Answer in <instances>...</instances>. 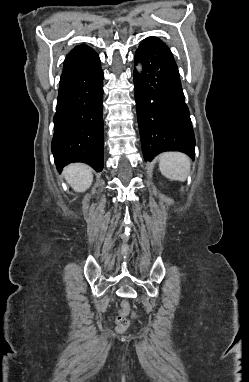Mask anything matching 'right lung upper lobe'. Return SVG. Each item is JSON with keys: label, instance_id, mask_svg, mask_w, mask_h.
I'll use <instances>...</instances> for the list:
<instances>
[{"label": "right lung upper lobe", "instance_id": "right-lung-upper-lobe-1", "mask_svg": "<svg viewBox=\"0 0 249 382\" xmlns=\"http://www.w3.org/2000/svg\"><path fill=\"white\" fill-rule=\"evenodd\" d=\"M96 52L87 45L73 48L66 56L60 81H63L91 62Z\"/></svg>", "mask_w": 249, "mask_h": 382}]
</instances>
